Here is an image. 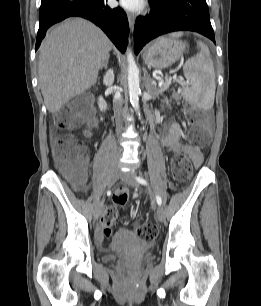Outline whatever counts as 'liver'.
I'll use <instances>...</instances> for the list:
<instances>
[{"instance_id":"6515ba94","label":"liver","mask_w":261,"mask_h":306,"mask_svg":"<svg viewBox=\"0 0 261 306\" xmlns=\"http://www.w3.org/2000/svg\"><path fill=\"white\" fill-rule=\"evenodd\" d=\"M112 43L93 23L74 18L54 27L39 53L38 75L49 112L96 83L99 69L109 57Z\"/></svg>"}]
</instances>
